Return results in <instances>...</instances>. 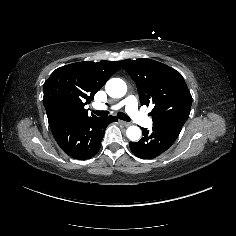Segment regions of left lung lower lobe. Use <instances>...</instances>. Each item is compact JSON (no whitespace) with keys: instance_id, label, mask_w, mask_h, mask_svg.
Wrapping results in <instances>:
<instances>
[{"instance_id":"left-lung-lower-lobe-1","label":"left lung lower lobe","mask_w":236,"mask_h":236,"mask_svg":"<svg viewBox=\"0 0 236 236\" xmlns=\"http://www.w3.org/2000/svg\"><path fill=\"white\" fill-rule=\"evenodd\" d=\"M143 137L138 142H130L132 153L141 159H153L165 152L177 139L180 129L154 126L152 131L141 128Z\"/></svg>"}]
</instances>
